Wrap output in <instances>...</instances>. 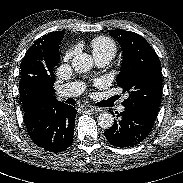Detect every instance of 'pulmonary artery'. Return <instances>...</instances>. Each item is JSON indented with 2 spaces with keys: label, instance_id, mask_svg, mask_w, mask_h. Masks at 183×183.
I'll use <instances>...</instances> for the list:
<instances>
[{
  "label": "pulmonary artery",
  "instance_id": "e3ab8cb5",
  "mask_svg": "<svg viewBox=\"0 0 183 183\" xmlns=\"http://www.w3.org/2000/svg\"><path fill=\"white\" fill-rule=\"evenodd\" d=\"M111 59L103 57L97 58L96 61L100 66H105L110 62ZM84 86L80 82H73L65 84L58 88L56 94L58 98L74 97L82 93ZM118 110L123 112L125 110L124 106H119Z\"/></svg>",
  "mask_w": 183,
  "mask_h": 183
}]
</instances>
